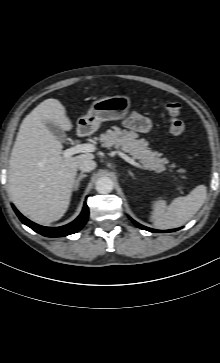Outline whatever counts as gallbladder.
Masks as SVG:
<instances>
[{
  "label": "gallbladder",
  "mask_w": 220,
  "mask_h": 363,
  "mask_svg": "<svg viewBox=\"0 0 220 363\" xmlns=\"http://www.w3.org/2000/svg\"><path fill=\"white\" fill-rule=\"evenodd\" d=\"M46 127L55 137L60 139L62 142L66 141V134L57 124L52 122H46Z\"/></svg>",
  "instance_id": "1"
}]
</instances>
